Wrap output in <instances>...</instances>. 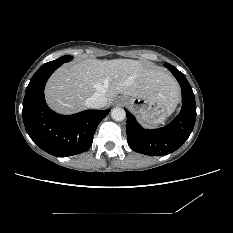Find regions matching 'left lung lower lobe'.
Here are the masks:
<instances>
[{"label": "left lung lower lobe", "mask_w": 233, "mask_h": 233, "mask_svg": "<svg viewBox=\"0 0 233 233\" xmlns=\"http://www.w3.org/2000/svg\"><path fill=\"white\" fill-rule=\"evenodd\" d=\"M165 66L177 79L182 90V109L167 126L155 130L143 129L135 117L126 110L127 141L136 152L161 156L180 148L190 136L196 120V104L193 90L182 72L169 63Z\"/></svg>", "instance_id": "1"}]
</instances>
